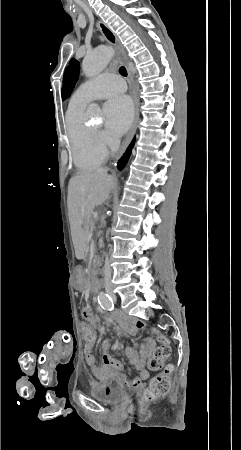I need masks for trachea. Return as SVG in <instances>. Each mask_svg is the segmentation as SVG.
I'll return each mask as SVG.
<instances>
[{
  "mask_svg": "<svg viewBox=\"0 0 241 450\" xmlns=\"http://www.w3.org/2000/svg\"><path fill=\"white\" fill-rule=\"evenodd\" d=\"M119 73H120L121 75H123V77H126V76H127L126 68H125V67H120Z\"/></svg>",
  "mask_w": 241,
  "mask_h": 450,
  "instance_id": "obj_1",
  "label": "trachea"
}]
</instances>
